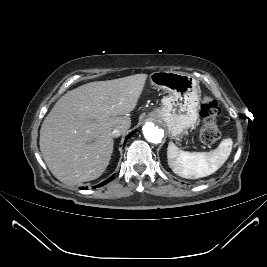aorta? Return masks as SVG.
<instances>
[{"mask_svg":"<svg viewBox=\"0 0 267 267\" xmlns=\"http://www.w3.org/2000/svg\"><path fill=\"white\" fill-rule=\"evenodd\" d=\"M143 134L148 142L158 144L162 141L163 130L160 129L154 122H146L143 126Z\"/></svg>","mask_w":267,"mask_h":267,"instance_id":"obj_1","label":"aorta"}]
</instances>
